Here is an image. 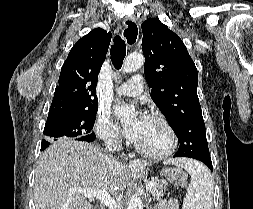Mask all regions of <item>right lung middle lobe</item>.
<instances>
[{"mask_svg":"<svg viewBox=\"0 0 253 209\" xmlns=\"http://www.w3.org/2000/svg\"><path fill=\"white\" fill-rule=\"evenodd\" d=\"M98 106L89 109L63 111L53 116H48L41 149L47 148L51 143L66 138H74L76 140L89 138Z\"/></svg>","mask_w":253,"mask_h":209,"instance_id":"obj_1","label":"right lung middle lobe"}]
</instances>
